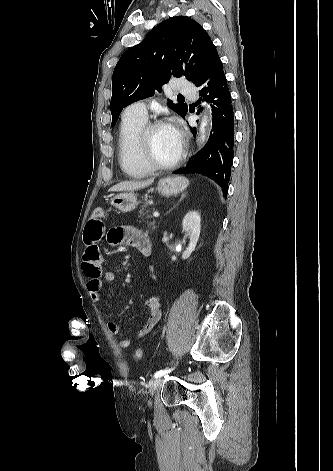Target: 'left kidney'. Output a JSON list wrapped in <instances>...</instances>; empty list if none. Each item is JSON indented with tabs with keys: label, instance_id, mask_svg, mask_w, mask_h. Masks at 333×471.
Here are the masks:
<instances>
[{
	"label": "left kidney",
	"instance_id": "1",
	"mask_svg": "<svg viewBox=\"0 0 333 471\" xmlns=\"http://www.w3.org/2000/svg\"><path fill=\"white\" fill-rule=\"evenodd\" d=\"M183 231L189 236L190 242L188 248L183 252L182 259H188L195 250L201 232V217L197 211L188 212L182 221ZM175 261L176 257L172 256Z\"/></svg>",
	"mask_w": 333,
	"mask_h": 471
}]
</instances>
